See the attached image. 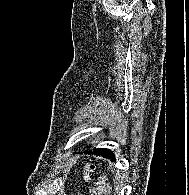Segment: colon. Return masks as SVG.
<instances>
[{
    "mask_svg": "<svg viewBox=\"0 0 189 195\" xmlns=\"http://www.w3.org/2000/svg\"><path fill=\"white\" fill-rule=\"evenodd\" d=\"M98 185H99V186L97 187V189L92 191V195L98 194L99 191L103 188V182H102V181H99V182H98Z\"/></svg>",
    "mask_w": 189,
    "mask_h": 195,
    "instance_id": "colon-1",
    "label": "colon"
}]
</instances>
